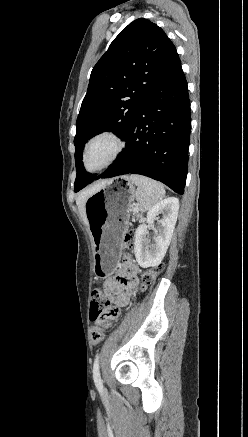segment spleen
Returning <instances> with one entry per match:
<instances>
[{"instance_id":"1","label":"spleen","mask_w":248,"mask_h":437,"mask_svg":"<svg viewBox=\"0 0 248 437\" xmlns=\"http://www.w3.org/2000/svg\"><path fill=\"white\" fill-rule=\"evenodd\" d=\"M130 180L137 186L134 196L141 211L150 210L165 197L164 186L155 180L135 174Z\"/></svg>"}]
</instances>
